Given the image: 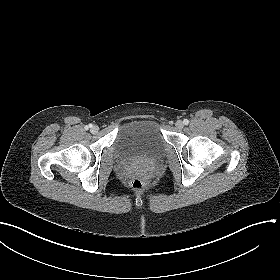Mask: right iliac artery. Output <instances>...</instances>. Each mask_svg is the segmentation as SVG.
Segmentation results:
<instances>
[{"label":"right iliac artery","instance_id":"1","mask_svg":"<svg viewBox=\"0 0 280 280\" xmlns=\"http://www.w3.org/2000/svg\"><path fill=\"white\" fill-rule=\"evenodd\" d=\"M91 127H92V124H89L88 126H85V129L88 130Z\"/></svg>","mask_w":280,"mask_h":280}]
</instances>
